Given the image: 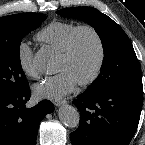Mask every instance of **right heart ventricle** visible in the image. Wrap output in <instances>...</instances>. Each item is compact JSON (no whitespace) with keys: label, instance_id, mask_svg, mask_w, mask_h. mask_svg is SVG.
Instances as JSON below:
<instances>
[{"label":"right heart ventricle","instance_id":"obj_1","mask_svg":"<svg viewBox=\"0 0 145 145\" xmlns=\"http://www.w3.org/2000/svg\"><path fill=\"white\" fill-rule=\"evenodd\" d=\"M78 26L74 22L52 21L36 34V40L62 52Z\"/></svg>","mask_w":145,"mask_h":145}]
</instances>
